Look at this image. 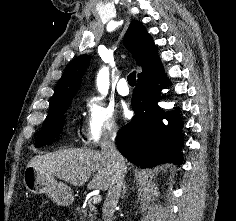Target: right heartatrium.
I'll use <instances>...</instances> for the list:
<instances>
[{"label":"right heart atrium","instance_id":"1","mask_svg":"<svg viewBox=\"0 0 236 221\" xmlns=\"http://www.w3.org/2000/svg\"><path fill=\"white\" fill-rule=\"evenodd\" d=\"M118 125L113 109L100 100L89 99L82 137L88 146H96L102 140L115 136Z\"/></svg>","mask_w":236,"mask_h":221}]
</instances>
